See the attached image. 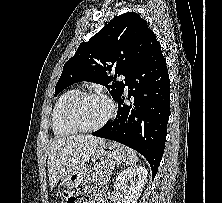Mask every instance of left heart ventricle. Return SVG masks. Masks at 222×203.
<instances>
[{"mask_svg": "<svg viewBox=\"0 0 222 203\" xmlns=\"http://www.w3.org/2000/svg\"><path fill=\"white\" fill-rule=\"evenodd\" d=\"M109 112L108 104L99 97H85L75 107L76 119L83 126H93L102 121Z\"/></svg>", "mask_w": 222, "mask_h": 203, "instance_id": "obj_1", "label": "left heart ventricle"}]
</instances>
